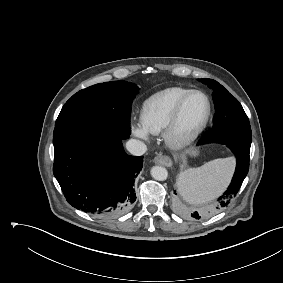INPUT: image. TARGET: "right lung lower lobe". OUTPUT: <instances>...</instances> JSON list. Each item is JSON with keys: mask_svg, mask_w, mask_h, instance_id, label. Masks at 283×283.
Returning <instances> with one entry per match:
<instances>
[{"mask_svg": "<svg viewBox=\"0 0 283 283\" xmlns=\"http://www.w3.org/2000/svg\"><path fill=\"white\" fill-rule=\"evenodd\" d=\"M122 140L111 132L91 131L55 147L53 173L69 204L101 217L132 206L143 157L127 155Z\"/></svg>", "mask_w": 283, "mask_h": 283, "instance_id": "right-lung-lower-lobe-1", "label": "right lung lower lobe"}]
</instances>
